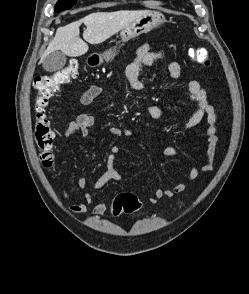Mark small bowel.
<instances>
[{"mask_svg": "<svg viewBox=\"0 0 249 294\" xmlns=\"http://www.w3.org/2000/svg\"><path fill=\"white\" fill-rule=\"evenodd\" d=\"M164 53L162 51L153 50L149 44H144L136 50V60L129 64L126 68V78L129 82L131 89L141 90L144 87L142 74L143 71L151 66L154 62L161 59ZM169 74L172 78L178 79L181 76L182 68L180 64L173 61L168 67ZM103 87L100 84H93L89 86L81 95L80 102L82 105H89L93 100L101 93ZM187 102L196 103V108L192 114L185 120L180 126L181 131H187L197 126L203 119H206L208 128L206 130L207 136V149L204 156V161L200 168L193 166L188 173V182L196 180L202 172H210L214 169L216 151L218 145V137L216 136L215 123L217 120L214 107L209 103L207 99V91L196 80H191L188 83V98ZM168 111L160 105L154 104L147 108V114L152 119H160L164 117ZM95 119L92 115L81 113L75 120L71 121L65 129L64 136L66 138L73 136L76 133H80L82 137L87 138L90 136V128L93 126ZM110 135L113 137H126L133 136L131 130L121 127L112 126L109 129ZM121 151V147L118 144H113L110 148V153L107 157V168L93 183L92 189L99 190L111 181H122L123 175L117 171L114 167V162L117 154ZM176 154V149L173 146H168L164 149L163 155L165 157H172ZM78 186L85 188L87 186V180L81 178L78 180ZM187 186L186 181H180L176 185L164 188L156 189L149 197L151 204L158 203L163 197L172 198L182 193ZM64 195L67 199L72 198L71 192L65 190ZM93 201V195L89 192L85 193L81 202L73 204L69 207V211L72 213H84L87 211L89 205ZM109 207L107 202H100L92 209V214L96 217H100L105 214Z\"/></svg>", "mask_w": 249, "mask_h": 294, "instance_id": "c3829d8e", "label": "small bowel"}]
</instances>
